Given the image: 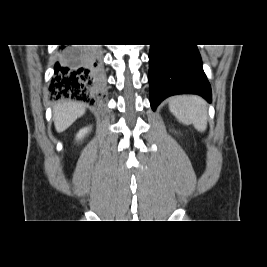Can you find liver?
Returning a JSON list of instances; mask_svg holds the SVG:
<instances>
[{
	"label": "liver",
	"mask_w": 267,
	"mask_h": 267,
	"mask_svg": "<svg viewBox=\"0 0 267 267\" xmlns=\"http://www.w3.org/2000/svg\"><path fill=\"white\" fill-rule=\"evenodd\" d=\"M85 107L77 102L58 103L53 108V119L56 131L61 133L69 128L77 118L83 116Z\"/></svg>",
	"instance_id": "1"
}]
</instances>
